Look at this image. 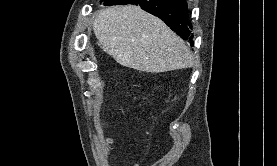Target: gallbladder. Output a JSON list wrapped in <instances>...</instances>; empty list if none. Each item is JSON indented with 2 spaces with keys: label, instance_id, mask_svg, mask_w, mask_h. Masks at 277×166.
Returning a JSON list of instances; mask_svg holds the SVG:
<instances>
[{
  "label": "gallbladder",
  "instance_id": "gallbladder-1",
  "mask_svg": "<svg viewBox=\"0 0 277 166\" xmlns=\"http://www.w3.org/2000/svg\"><path fill=\"white\" fill-rule=\"evenodd\" d=\"M99 45H100L102 48H104V46H103V44H102V43H99Z\"/></svg>",
  "mask_w": 277,
  "mask_h": 166
}]
</instances>
